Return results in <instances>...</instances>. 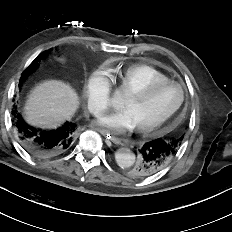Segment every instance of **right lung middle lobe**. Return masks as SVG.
Segmentation results:
<instances>
[{
  "instance_id": "obj_1",
  "label": "right lung middle lobe",
  "mask_w": 232,
  "mask_h": 232,
  "mask_svg": "<svg viewBox=\"0 0 232 232\" xmlns=\"http://www.w3.org/2000/svg\"><path fill=\"white\" fill-rule=\"evenodd\" d=\"M48 53V51L42 52L34 61L25 69V71L22 73L21 79L19 81V85L21 86L28 77L37 70L39 66V62L45 58V55Z\"/></svg>"
}]
</instances>
